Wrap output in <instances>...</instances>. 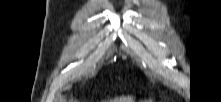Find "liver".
Returning <instances> with one entry per match:
<instances>
[{"label":"liver","mask_w":221,"mask_h":102,"mask_svg":"<svg viewBox=\"0 0 221 102\" xmlns=\"http://www.w3.org/2000/svg\"><path fill=\"white\" fill-rule=\"evenodd\" d=\"M112 102H133V97H121V98H116Z\"/></svg>","instance_id":"liver-1"}]
</instances>
